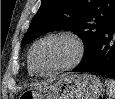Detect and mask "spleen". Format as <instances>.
<instances>
[{
    "instance_id": "obj_1",
    "label": "spleen",
    "mask_w": 115,
    "mask_h": 99,
    "mask_svg": "<svg viewBox=\"0 0 115 99\" xmlns=\"http://www.w3.org/2000/svg\"><path fill=\"white\" fill-rule=\"evenodd\" d=\"M105 85L107 87V94L109 96V99H115V80L106 79Z\"/></svg>"
}]
</instances>
